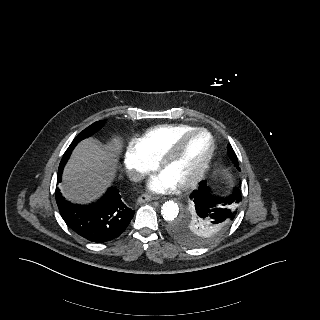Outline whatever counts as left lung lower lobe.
<instances>
[{
    "mask_svg": "<svg viewBox=\"0 0 320 320\" xmlns=\"http://www.w3.org/2000/svg\"><path fill=\"white\" fill-rule=\"evenodd\" d=\"M194 211L203 219L209 221L210 229L208 236L224 230L233 220L236 214V206L242 200V194L239 187H235L233 193L227 197L214 196L206 181L199 184V188L191 194Z\"/></svg>",
    "mask_w": 320,
    "mask_h": 320,
    "instance_id": "0a47b994",
    "label": "left lung lower lobe"
}]
</instances>
